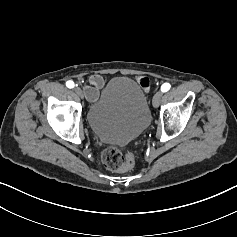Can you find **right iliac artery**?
<instances>
[{"mask_svg":"<svg viewBox=\"0 0 237 237\" xmlns=\"http://www.w3.org/2000/svg\"><path fill=\"white\" fill-rule=\"evenodd\" d=\"M66 86L71 89V88H73L75 85H74V82L70 80V81H67V82H66Z\"/></svg>","mask_w":237,"mask_h":237,"instance_id":"82829eb1","label":"right iliac artery"}]
</instances>
